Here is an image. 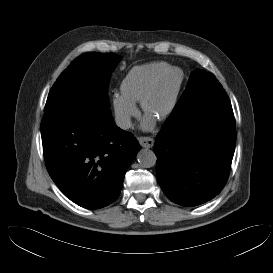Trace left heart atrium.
Listing matches in <instances>:
<instances>
[{
  "label": "left heart atrium",
  "instance_id": "obj_1",
  "mask_svg": "<svg viewBox=\"0 0 273 273\" xmlns=\"http://www.w3.org/2000/svg\"><path fill=\"white\" fill-rule=\"evenodd\" d=\"M154 125V120L151 116H148L145 118V121H144V127L145 128H151L153 127Z\"/></svg>",
  "mask_w": 273,
  "mask_h": 273
}]
</instances>
